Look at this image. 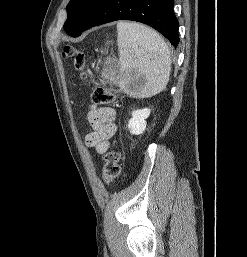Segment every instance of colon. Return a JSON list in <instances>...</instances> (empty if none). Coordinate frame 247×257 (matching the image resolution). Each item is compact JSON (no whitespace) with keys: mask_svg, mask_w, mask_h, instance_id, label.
Here are the masks:
<instances>
[{"mask_svg":"<svg viewBox=\"0 0 247 257\" xmlns=\"http://www.w3.org/2000/svg\"><path fill=\"white\" fill-rule=\"evenodd\" d=\"M62 54L65 58L73 60L75 70L84 73L86 69L85 54L72 45L65 46ZM115 99L114 93L105 87L96 86L92 91V101L100 105H109ZM121 171V154L116 149L108 150L104 155L103 179L106 183H112Z\"/></svg>","mask_w":247,"mask_h":257,"instance_id":"1","label":"colon"}]
</instances>
